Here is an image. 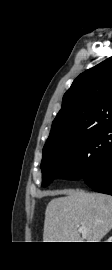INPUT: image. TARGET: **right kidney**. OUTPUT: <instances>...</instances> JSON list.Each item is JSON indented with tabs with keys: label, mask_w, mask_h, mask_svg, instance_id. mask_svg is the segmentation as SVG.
Returning <instances> with one entry per match:
<instances>
[{
	"label": "right kidney",
	"mask_w": 112,
	"mask_h": 270,
	"mask_svg": "<svg viewBox=\"0 0 112 270\" xmlns=\"http://www.w3.org/2000/svg\"><path fill=\"white\" fill-rule=\"evenodd\" d=\"M107 242H112V236L109 237V239L107 240Z\"/></svg>",
	"instance_id": "ca27d5eb"
}]
</instances>
